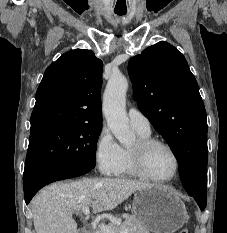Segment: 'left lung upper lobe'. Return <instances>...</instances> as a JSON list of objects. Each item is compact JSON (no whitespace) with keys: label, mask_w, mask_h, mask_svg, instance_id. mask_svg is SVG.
I'll return each instance as SVG.
<instances>
[{"label":"left lung upper lobe","mask_w":227,"mask_h":233,"mask_svg":"<svg viewBox=\"0 0 227 233\" xmlns=\"http://www.w3.org/2000/svg\"><path fill=\"white\" fill-rule=\"evenodd\" d=\"M128 73L140 111L178 160L184 188L206 197L207 117L185 57L161 41L132 57Z\"/></svg>","instance_id":"obj_1"}]
</instances>
